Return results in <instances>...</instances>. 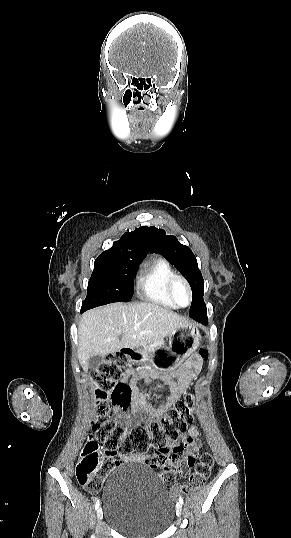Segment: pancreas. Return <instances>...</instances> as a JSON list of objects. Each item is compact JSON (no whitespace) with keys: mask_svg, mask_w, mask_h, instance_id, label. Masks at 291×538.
Here are the masks:
<instances>
[{"mask_svg":"<svg viewBox=\"0 0 291 538\" xmlns=\"http://www.w3.org/2000/svg\"><path fill=\"white\" fill-rule=\"evenodd\" d=\"M162 343L161 342H153L147 346H145L143 349L146 350V351H153L155 350V348L161 346Z\"/></svg>","mask_w":291,"mask_h":538,"instance_id":"1","label":"pancreas"}]
</instances>
